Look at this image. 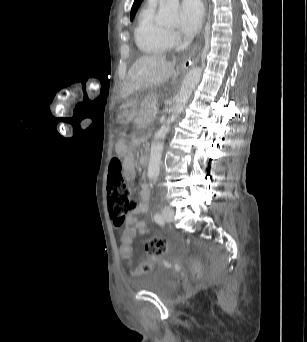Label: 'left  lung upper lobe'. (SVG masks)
Instances as JSON below:
<instances>
[{
  "mask_svg": "<svg viewBox=\"0 0 307 342\" xmlns=\"http://www.w3.org/2000/svg\"><path fill=\"white\" fill-rule=\"evenodd\" d=\"M143 0H135L131 9L130 19L132 20Z\"/></svg>",
  "mask_w": 307,
  "mask_h": 342,
  "instance_id": "obj_1",
  "label": "left lung upper lobe"
}]
</instances>
